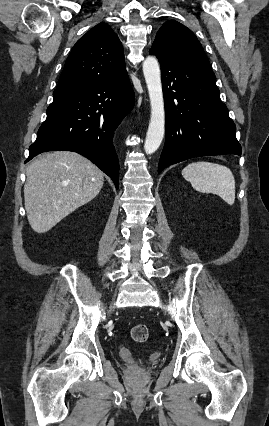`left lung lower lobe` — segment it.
Returning a JSON list of instances; mask_svg holds the SVG:
<instances>
[{
    "mask_svg": "<svg viewBox=\"0 0 269 426\" xmlns=\"http://www.w3.org/2000/svg\"><path fill=\"white\" fill-rule=\"evenodd\" d=\"M161 65L165 101V145L158 173L198 156L236 154L241 146L235 124L220 99L213 72L152 50Z\"/></svg>",
    "mask_w": 269,
    "mask_h": 426,
    "instance_id": "obj_1",
    "label": "left lung lower lobe"
}]
</instances>
